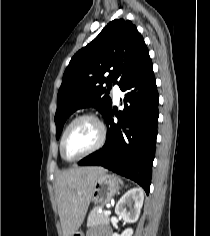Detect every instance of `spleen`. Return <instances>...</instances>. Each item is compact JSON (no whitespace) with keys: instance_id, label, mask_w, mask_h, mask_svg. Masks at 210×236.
Here are the masks:
<instances>
[{"instance_id":"spleen-1","label":"spleen","mask_w":210,"mask_h":236,"mask_svg":"<svg viewBox=\"0 0 210 236\" xmlns=\"http://www.w3.org/2000/svg\"><path fill=\"white\" fill-rule=\"evenodd\" d=\"M119 181H120V180H119ZM120 183H121V184H123V182H122V181H120Z\"/></svg>"}]
</instances>
